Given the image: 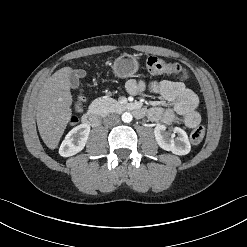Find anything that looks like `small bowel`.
Returning <instances> with one entry per match:
<instances>
[{
    "label": "small bowel",
    "mask_w": 247,
    "mask_h": 247,
    "mask_svg": "<svg viewBox=\"0 0 247 247\" xmlns=\"http://www.w3.org/2000/svg\"><path fill=\"white\" fill-rule=\"evenodd\" d=\"M126 89L132 95L144 93L160 95L171 103L169 108L152 107L148 110V118L153 122L165 124L180 122L188 128H193L201 121V116L196 110L198 98L182 82L169 79L149 82L130 80Z\"/></svg>",
    "instance_id": "1"
}]
</instances>
